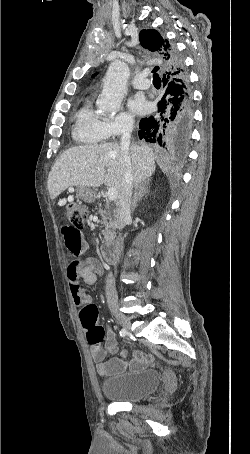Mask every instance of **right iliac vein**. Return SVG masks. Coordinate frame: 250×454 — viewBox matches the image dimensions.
<instances>
[{
	"mask_svg": "<svg viewBox=\"0 0 250 454\" xmlns=\"http://www.w3.org/2000/svg\"><path fill=\"white\" fill-rule=\"evenodd\" d=\"M112 313L115 316L116 320L124 327V329L130 332L131 322L129 318L125 314L121 313L118 309H114Z\"/></svg>",
	"mask_w": 250,
	"mask_h": 454,
	"instance_id": "1",
	"label": "right iliac vein"
}]
</instances>
